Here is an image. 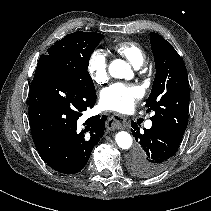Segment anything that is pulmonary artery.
<instances>
[{
  "mask_svg": "<svg viewBox=\"0 0 211 211\" xmlns=\"http://www.w3.org/2000/svg\"><path fill=\"white\" fill-rule=\"evenodd\" d=\"M146 128H150L152 126V122L149 120L145 124Z\"/></svg>",
  "mask_w": 211,
  "mask_h": 211,
  "instance_id": "obj_1",
  "label": "pulmonary artery"
}]
</instances>
